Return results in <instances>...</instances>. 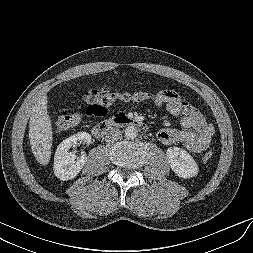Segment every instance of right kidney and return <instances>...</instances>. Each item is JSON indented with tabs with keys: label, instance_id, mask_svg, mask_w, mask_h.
Masks as SVG:
<instances>
[{
	"label": "right kidney",
	"instance_id": "1",
	"mask_svg": "<svg viewBox=\"0 0 253 253\" xmlns=\"http://www.w3.org/2000/svg\"><path fill=\"white\" fill-rule=\"evenodd\" d=\"M91 135L87 132H79L63 140L57 147L54 155V174L60 180L67 181L75 178L84 167L87 156L77 157L74 152H69L78 142L91 143Z\"/></svg>",
	"mask_w": 253,
	"mask_h": 253
}]
</instances>
